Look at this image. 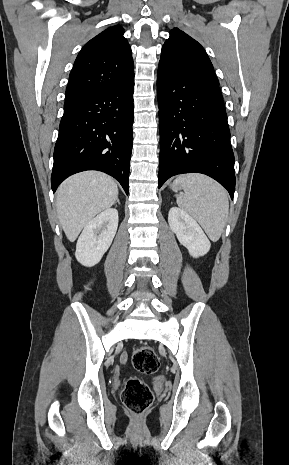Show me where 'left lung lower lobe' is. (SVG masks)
<instances>
[{"instance_id": "obj_1", "label": "left lung lower lobe", "mask_w": 289, "mask_h": 465, "mask_svg": "<svg viewBox=\"0 0 289 465\" xmlns=\"http://www.w3.org/2000/svg\"><path fill=\"white\" fill-rule=\"evenodd\" d=\"M159 184L182 173L206 174L235 191L234 154L219 85L158 72Z\"/></svg>"}]
</instances>
